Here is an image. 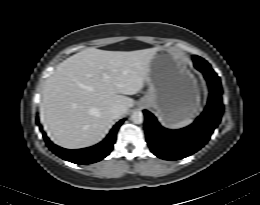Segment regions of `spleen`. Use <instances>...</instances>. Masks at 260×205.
<instances>
[{"instance_id": "spleen-1", "label": "spleen", "mask_w": 260, "mask_h": 205, "mask_svg": "<svg viewBox=\"0 0 260 205\" xmlns=\"http://www.w3.org/2000/svg\"><path fill=\"white\" fill-rule=\"evenodd\" d=\"M192 121L193 120L191 118H187V119H185V120H183V121H181V122H179L177 124L170 125V128L171 129L183 128V127H186V126L190 125L192 123Z\"/></svg>"}]
</instances>
